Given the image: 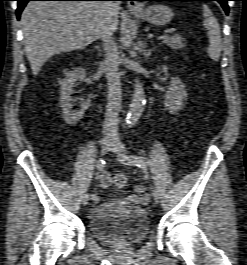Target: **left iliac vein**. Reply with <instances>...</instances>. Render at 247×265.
<instances>
[{
	"label": "left iliac vein",
	"mask_w": 247,
	"mask_h": 265,
	"mask_svg": "<svg viewBox=\"0 0 247 265\" xmlns=\"http://www.w3.org/2000/svg\"><path fill=\"white\" fill-rule=\"evenodd\" d=\"M112 150H113L114 152H116V153L120 156V158H122V157L125 155V147H124V145L121 143L120 140H117V139H116V140L114 141V145H113V147H112ZM153 197H154V201H155L156 203H159V201H160V194H159L158 190H156V189L153 190Z\"/></svg>",
	"instance_id": "obj_1"
}]
</instances>
